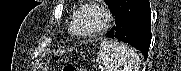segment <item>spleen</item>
<instances>
[{"instance_id": "3e777b00", "label": "spleen", "mask_w": 181, "mask_h": 71, "mask_svg": "<svg viewBox=\"0 0 181 71\" xmlns=\"http://www.w3.org/2000/svg\"><path fill=\"white\" fill-rule=\"evenodd\" d=\"M96 62L101 71H139V56L126 44L103 40Z\"/></svg>"}]
</instances>
